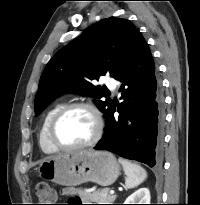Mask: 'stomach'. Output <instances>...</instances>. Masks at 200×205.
Listing matches in <instances>:
<instances>
[{"label": "stomach", "instance_id": "stomach-1", "mask_svg": "<svg viewBox=\"0 0 200 205\" xmlns=\"http://www.w3.org/2000/svg\"><path fill=\"white\" fill-rule=\"evenodd\" d=\"M38 170L45 179L62 186H77L89 181L109 186L120 175V165L113 154L92 150L64 153L45 159Z\"/></svg>", "mask_w": 200, "mask_h": 205}]
</instances>
